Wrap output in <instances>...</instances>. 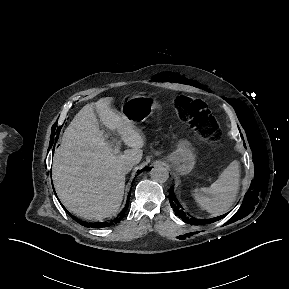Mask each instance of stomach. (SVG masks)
<instances>
[{"instance_id": "obj_1", "label": "stomach", "mask_w": 289, "mask_h": 289, "mask_svg": "<svg viewBox=\"0 0 289 289\" xmlns=\"http://www.w3.org/2000/svg\"><path fill=\"white\" fill-rule=\"evenodd\" d=\"M158 103L148 97L137 95L129 98L121 107V115L127 117L133 124L148 119L157 108ZM170 161L180 174L191 172L195 166L196 154L190 142L181 139L176 143L171 153Z\"/></svg>"}]
</instances>
